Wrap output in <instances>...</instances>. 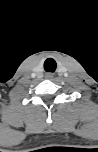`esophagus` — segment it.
<instances>
[{"mask_svg": "<svg viewBox=\"0 0 98 152\" xmlns=\"http://www.w3.org/2000/svg\"><path fill=\"white\" fill-rule=\"evenodd\" d=\"M50 77H52V74L51 73H47L46 74V78H50Z\"/></svg>", "mask_w": 98, "mask_h": 152, "instance_id": "esophagus-1", "label": "esophagus"}]
</instances>
